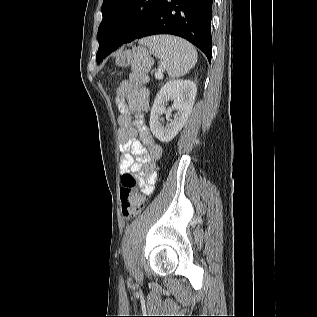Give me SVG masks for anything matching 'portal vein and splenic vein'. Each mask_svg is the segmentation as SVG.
I'll return each instance as SVG.
<instances>
[{
	"mask_svg": "<svg viewBox=\"0 0 317 317\" xmlns=\"http://www.w3.org/2000/svg\"><path fill=\"white\" fill-rule=\"evenodd\" d=\"M155 78L156 79H162L163 78V74L160 71H158V72L155 73Z\"/></svg>",
	"mask_w": 317,
	"mask_h": 317,
	"instance_id": "18ae733b",
	"label": "portal vein and splenic vein"
}]
</instances>
